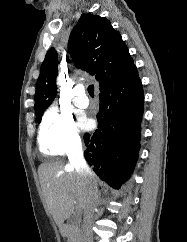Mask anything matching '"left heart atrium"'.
Wrapping results in <instances>:
<instances>
[{
	"label": "left heart atrium",
	"mask_w": 187,
	"mask_h": 242,
	"mask_svg": "<svg viewBox=\"0 0 187 242\" xmlns=\"http://www.w3.org/2000/svg\"><path fill=\"white\" fill-rule=\"evenodd\" d=\"M79 125L84 130L89 129V127H90V120L88 118H86L85 116H82L80 121H79Z\"/></svg>",
	"instance_id": "39dd6f15"
}]
</instances>
